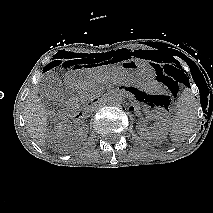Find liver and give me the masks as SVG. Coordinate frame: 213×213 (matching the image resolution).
<instances>
[{
  "instance_id": "6515ba94",
  "label": "liver",
  "mask_w": 213,
  "mask_h": 213,
  "mask_svg": "<svg viewBox=\"0 0 213 213\" xmlns=\"http://www.w3.org/2000/svg\"><path fill=\"white\" fill-rule=\"evenodd\" d=\"M115 70L114 67L107 69L99 68L96 70V74L100 78ZM23 115L28 134L40 147H44L47 137V110L38 97L37 88H34L28 95Z\"/></svg>"
}]
</instances>
